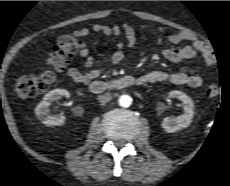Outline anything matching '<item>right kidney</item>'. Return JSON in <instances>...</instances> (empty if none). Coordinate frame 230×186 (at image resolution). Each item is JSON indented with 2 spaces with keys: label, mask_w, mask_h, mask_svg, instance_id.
I'll list each match as a JSON object with an SVG mask.
<instances>
[{
  "label": "right kidney",
  "mask_w": 230,
  "mask_h": 186,
  "mask_svg": "<svg viewBox=\"0 0 230 186\" xmlns=\"http://www.w3.org/2000/svg\"><path fill=\"white\" fill-rule=\"evenodd\" d=\"M69 96V92L65 89H54L48 92L35 108L38 119L47 126H62L65 123V116L50 114L49 106L54 100Z\"/></svg>",
  "instance_id": "obj_1"
}]
</instances>
